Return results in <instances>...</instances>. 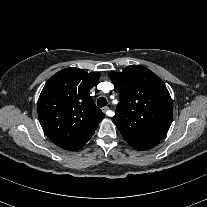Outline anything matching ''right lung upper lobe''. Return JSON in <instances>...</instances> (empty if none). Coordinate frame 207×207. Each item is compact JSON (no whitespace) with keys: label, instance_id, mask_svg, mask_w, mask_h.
Instances as JSON below:
<instances>
[{"label":"right lung upper lobe","instance_id":"obj_1","mask_svg":"<svg viewBox=\"0 0 207 207\" xmlns=\"http://www.w3.org/2000/svg\"><path fill=\"white\" fill-rule=\"evenodd\" d=\"M100 77L70 67L53 75L38 100V117L47 137L65 150H78L92 137L103 120L90 89Z\"/></svg>","mask_w":207,"mask_h":207}]
</instances>
